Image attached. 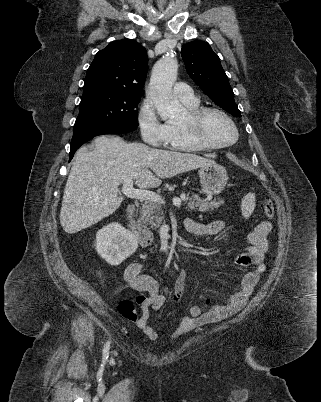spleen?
<instances>
[{"instance_id": "spleen-1", "label": "spleen", "mask_w": 321, "mask_h": 402, "mask_svg": "<svg viewBox=\"0 0 321 402\" xmlns=\"http://www.w3.org/2000/svg\"><path fill=\"white\" fill-rule=\"evenodd\" d=\"M255 203L256 199L254 193L250 192L243 197L241 201V212L244 218L247 219L251 216L255 208Z\"/></svg>"}]
</instances>
